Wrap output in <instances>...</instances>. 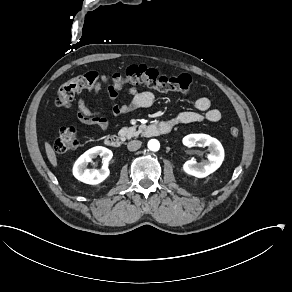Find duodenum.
I'll list each match as a JSON object with an SVG mask.
<instances>
[{
	"label": "duodenum",
	"mask_w": 292,
	"mask_h": 292,
	"mask_svg": "<svg viewBox=\"0 0 292 292\" xmlns=\"http://www.w3.org/2000/svg\"><path fill=\"white\" fill-rule=\"evenodd\" d=\"M172 130L171 123L161 121L147 125L142 132L144 137H153L163 134H168ZM105 143L111 148H119L121 146V139L117 134H110L105 138Z\"/></svg>",
	"instance_id": "410a0bca"
}]
</instances>
